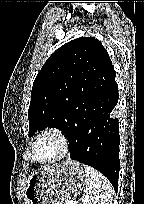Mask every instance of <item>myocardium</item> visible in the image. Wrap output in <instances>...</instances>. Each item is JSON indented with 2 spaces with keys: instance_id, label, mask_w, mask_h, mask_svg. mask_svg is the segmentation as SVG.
<instances>
[{
  "instance_id": "obj_1",
  "label": "myocardium",
  "mask_w": 144,
  "mask_h": 204,
  "mask_svg": "<svg viewBox=\"0 0 144 204\" xmlns=\"http://www.w3.org/2000/svg\"><path fill=\"white\" fill-rule=\"evenodd\" d=\"M47 135H52V136H55L56 138H58V140L61 143V152L57 157H55L52 160L40 161L36 157V145L42 137L47 136ZM70 150H71L70 137L63 129L58 128V127H48V128H45L44 130H42L41 132H39L38 135L33 140V143L31 146V152H32L33 160L35 162H37L38 164H41V165H51V164H55V163L60 162L70 153Z\"/></svg>"
}]
</instances>
